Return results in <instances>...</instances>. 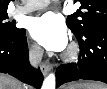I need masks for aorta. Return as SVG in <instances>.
<instances>
[{
	"label": "aorta",
	"instance_id": "762f6f07",
	"mask_svg": "<svg viewBox=\"0 0 107 89\" xmlns=\"http://www.w3.org/2000/svg\"><path fill=\"white\" fill-rule=\"evenodd\" d=\"M56 81H55V74H49L42 85V89H55Z\"/></svg>",
	"mask_w": 107,
	"mask_h": 89
}]
</instances>
